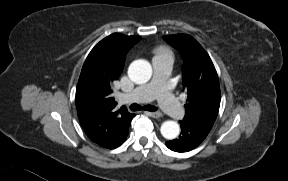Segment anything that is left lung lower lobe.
Wrapping results in <instances>:
<instances>
[{
  "label": "left lung lower lobe",
  "mask_w": 288,
  "mask_h": 181,
  "mask_svg": "<svg viewBox=\"0 0 288 181\" xmlns=\"http://www.w3.org/2000/svg\"><path fill=\"white\" fill-rule=\"evenodd\" d=\"M181 135L179 138L167 141L169 149L176 152H187L197 147L208 135L211 128L195 123L180 121Z\"/></svg>",
  "instance_id": "0a47b994"
}]
</instances>
